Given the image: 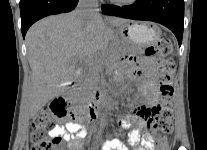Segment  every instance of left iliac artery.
Masks as SVG:
<instances>
[{
	"label": "left iliac artery",
	"instance_id": "left-iliac-artery-1",
	"mask_svg": "<svg viewBox=\"0 0 207 150\" xmlns=\"http://www.w3.org/2000/svg\"><path fill=\"white\" fill-rule=\"evenodd\" d=\"M111 146L117 148V150H128V148L118 139L113 140Z\"/></svg>",
	"mask_w": 207,
	"mask_h": 150
}]
</instances>
